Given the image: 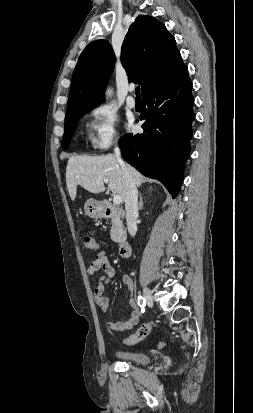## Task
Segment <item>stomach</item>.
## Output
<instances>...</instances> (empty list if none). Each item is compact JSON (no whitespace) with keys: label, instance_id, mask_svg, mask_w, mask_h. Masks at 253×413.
<instances>
[{"label":"stomach","instance_id":"obj_1","mask_svg":"<svg viewBox=\"0 0 253 413\" xmlns=\"http://www.w3.org/2000/svg\"><path fill=\"white\" fill-rule=\"evenodd\" d=\"M84 210L85 214L91 218H100L104 213L102 204L92 198L86 201Z\"/></svg>","mask_w":253,"mask_h":413}]
</instances>
